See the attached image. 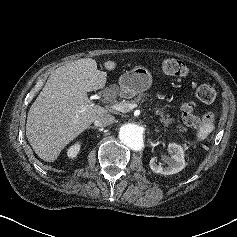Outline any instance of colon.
I'll return each mask as SVG.
<instances>
[{"instance_id": "1", "label": "colon", "mask_w": 237, "mask_h": 237, "mask_svg": "<svg viewBox=\"0 0 237 237\" xmlns=\"http://www.w3.org/2000/svg\"><path fill=\"white\" fill-rule=\"evenodd\" d=\"M162 70L172 76L186 77L192 75V71L182 61L176 59H165L160 63ZM196 97L203 103L210 104L216 99V91L209 85H201L196 90ZM196 103L193 99H186L181 105V115L183 123L190 128H199L201 126L200 119L195 115L194 111ZM214 115L207 113L204 116V122H212Z\"/></svg>"}]
</instances>
